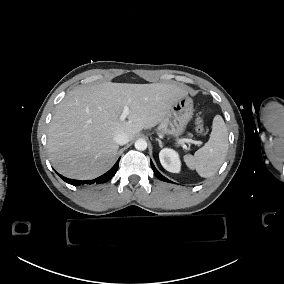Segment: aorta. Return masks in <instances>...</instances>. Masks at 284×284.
I'll return each mask as SVG.
<instances>
[{
	"instance_id": "1",
	"label": "aorta",
	"mask_w": 284,
	"mask_h": 284,
	"mask_svg": "<svg viewBox=\"0 0 284 284\" xmlns=\"http://www.w3.org/2000/svg\"><path fill=\"white\" fill-rule=\"evenodd\" d=\"M135 148L140 151H144L147 148V142L144 139H138L135 142Z\"/></svg>"
}]
</instances>
